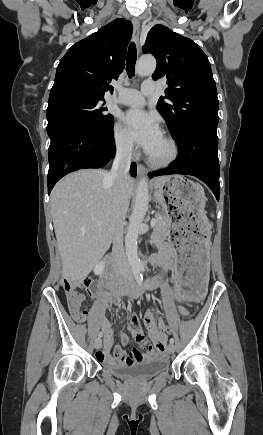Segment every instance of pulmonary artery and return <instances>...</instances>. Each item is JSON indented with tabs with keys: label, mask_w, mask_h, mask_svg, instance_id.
Returning a JSON list of instances; mask_svg holds the SVG:
<instances>
[{
	"label": "pulmonary artery",
	"mask_w": 263,
	"mask_h": 435,
	"mask_svg": "<svg viewBox=\"0 0 263 435\" xmlns=\"http://www.w3.org/2000/svg\"><path fill=\"white\" fill-rule=\"evenodd\" d=\"M155 91V84L150 81H146L142 84L141 90L135 89H123L120 91V95L117 98H113L112 101L132 107H141L146 103V97L153 94Z\"/></svg>",
	"instance_id": "pulmonary-artery-1"
}]
</instances>
